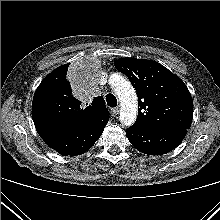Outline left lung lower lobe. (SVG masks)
Listing matches in <instances>:
<instances>
[{
  "instance_id": "1",
  "label": "left lung lower lobe",
  "mask_w": 220,
  "mask_h": 220,
  "mask_svg": "<svg viewBox=\"0 0 220 220\" xmlns=\"http://www.w3.org/2000/svg\"><path fill=\"white\" fill-rule=\"evenodd\" d=\"M186 133V129H153L136 124L126 130L131 144L148 155H162L172 151L181 143Z\"/></svg>"
}]
</instances>
